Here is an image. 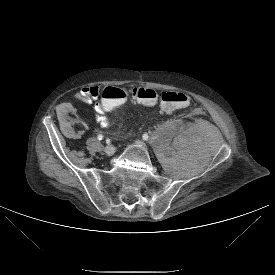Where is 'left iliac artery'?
<instances>
[{"mask_svg": "<svg viewBox=\"0 0 275 275\" xmlns=\"http://www.w3.org/2000/svg\"><path fill=\"white\" fill-rule=\"evenodd\" d=\"M142 137H143V139H144V140H148V138H149V136H148V134H147V133L143 134V136H142Z\"/></svg>", "mask_w": 275, "mask_h": 275, "instance_id": "1", "label": "left iliac artery"}]
</instances>
